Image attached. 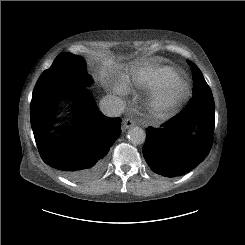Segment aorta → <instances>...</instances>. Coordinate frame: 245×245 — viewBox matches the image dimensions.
Masks as SVG:
<instances>
[{"mask_svg": "<svg viewBox=\"0 0 245 245\" xmlns=\"http://www.w3.org/2000/svg\"><path fill=\"white\" fill-rule=\"evenodd\" d=\"M128 138L134 144H142L146 140V133L140 127H133L128 131Z\"/></svg>", "mask_w": 245, "mask_h": 245, "instance_id": "obj_1", "label": "aorta"}]
</instances>
